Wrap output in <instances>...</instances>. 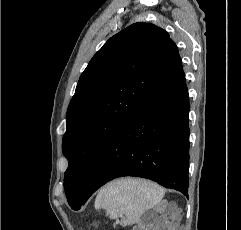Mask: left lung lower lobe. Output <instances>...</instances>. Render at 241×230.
Listing matches in <instances>:
<instances>
[{
    "instance_id": "left-lung-lower-lobe-1",
    "label": "left lung lower lobe",
    "mask_w": 241,
    "mask_h": 230,
    "mask_svg": "<svg viewBox=\"0 0 241 230\" xmlns=\"http://www.w3.org/2000/svg\"><path fill=\"white\" fill-rule=\"evenodd\" d=\"M189 96L180 67L103 146L81 205L105 183L123 176L153 180L187 196Z\"/></svg>"
}]
</instances>
